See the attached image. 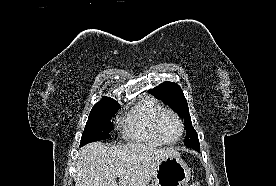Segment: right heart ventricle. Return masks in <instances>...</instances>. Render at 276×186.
Returning a JSON list of instances; mask_svg holds the SVG:
<instances>
[{"instance_id":"obj_1","label":"right heart ventricle","mask_w":276,"mask_h":186,"mask_svg":"<svg viewBox=\"0 0 276 186\" xmlns=\"http://www.w3.org/2000/svg\"><path fill=\"white\" fill-rule=\"evenodd\" d=\"M163 107L153 98L142 100L123 120V133L133 141L162 146L165 143L156 135L154 120Z\"/></svg>"}]
</instances>
